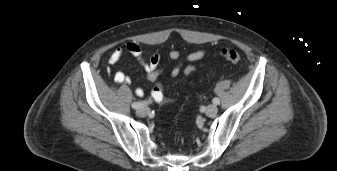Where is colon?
<instances>
[{
	"label": "colon",
	"instance_id": "5ec220e1",
	"mask_svg": "<svg viewBox=\"0 0 337 171\" xmlns=\"http://www.w3.org/2000/svg\"><path fill=\"white\" fill-rule=\"evenodd\" d=\"M222 57L231 62V63H239L241 61V55L238 51L234 49H223L222 52Z\"/></svg>",
	"mask_w": 337,
	"mask_h": 171
}]
</instances>
